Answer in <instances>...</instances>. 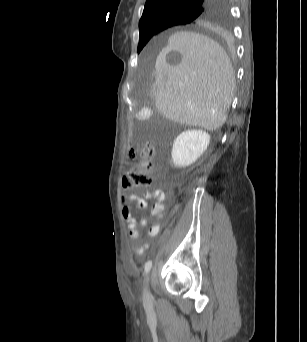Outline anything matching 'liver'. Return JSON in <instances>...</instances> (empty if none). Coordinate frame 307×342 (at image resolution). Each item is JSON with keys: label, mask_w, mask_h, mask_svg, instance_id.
Listing matches in <instances>:
<instances>
[{"label": "liver", "mask_w": 307, "mask_h": 342, "mask_svg": "<svg viewBox=\"0 0 307 342\" xmlns=\"http://www.w3.org/2000/svg\"><path fill=\"white\" fill-rule=\"evenodd\" d=\"M156 108L167 120L214 132L226 122L235 76L223 48L196 32H175L155 67Z\"/></svg>", "instance_id": "6515ba94"}]
</instances>
